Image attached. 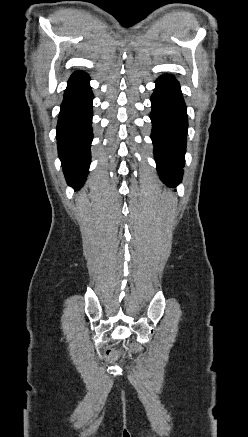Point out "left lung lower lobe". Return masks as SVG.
I'll use <instances>...</instances> for the list:
<instances>
[{
	"label": "left lung lower lobe",
	"mask_w": 248,
	"mask_h": 437,
	"mask_svg": "<svg viewBox=\"0 0 248 437\" xmlns=\"http://www.w3.org/2000/svg\"><path fill=\"white\" fill-rule=\"evenodd\" d=\"M151 97V139L162 181L175 187L182 179L188 120L179 82L172 75L156 80Z\"/></svg>",
	"instance_id": "0a47b994"
}]
</instances>
